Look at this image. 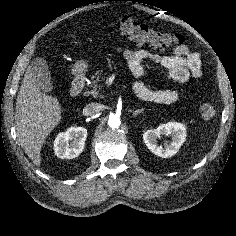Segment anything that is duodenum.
<instances>
[{
  "label": "duodenum",
  "mask_w": 236,
  "mask_h": 236,
  "mask_svg": "<svg viewBox=\"0 0 236 236\" xmlns=\"http://www.w3.org/2000/svg\"><path fill=\"white\" fill-rule=\"evenodd\" d=\"M85 87V81L83 78H76L71 87H70V95L72 97H78L82 94Z\"/></svg>",
  "instance_id": "1"
}]
</instances>
